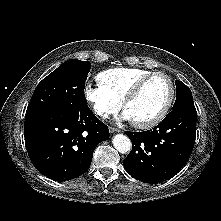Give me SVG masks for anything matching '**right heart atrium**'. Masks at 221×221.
Masks as SVG:
<instances>
[{
    "label": "right heart atrium",
    "mask_w": 221,
    "mask_h": 221,
    "mask_svg": "<svg viewBox=\"0 0 221 221\" xmlns=\"http://www.w3.org/2000/svg\"><path fill=\"white\" fill-rule=\"evenodd\" d=\"M84 97L100 118H107L121 107V102L112 97L100 84H87Z\"/></svg>",
    "instance_id": "1"
}]
</instances>
